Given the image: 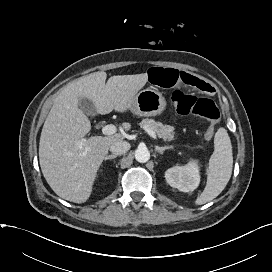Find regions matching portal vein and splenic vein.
<instances>
[{
    "label": "portal vein and splenic vein",
    "instance_id": "obj_1",
    "mask_svg": "<svg viewBox=\"0 0 272 272\" xmlns=\"http://www.w3.org/2000/svg\"><path fill=\"white\" fill-rule=\"evenodd\" d=\"M116 126L115 125H112V124H109V125H105L103 128H102V133L104 135H113L115 132H116ZM145 131L153 138V139H157V135L156 133L149 129V128H145ZM85 139L82 140V142H84Z\"/></svg>",
    "mask_w": 272,
    "mask_h": 272
}]
</instances>
